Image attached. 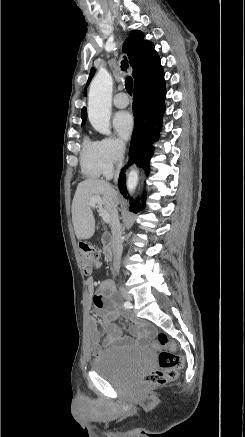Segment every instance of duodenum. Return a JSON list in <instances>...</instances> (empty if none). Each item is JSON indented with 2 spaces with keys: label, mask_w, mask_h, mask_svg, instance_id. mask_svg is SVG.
Instances as JSON below:
<instances>
[{
  "label": "duodenum",
  "mask_w": 245,
  "mask_h": 437,
  "mask_svg": "<svg viewBox=\"0 0 245 437\" xmlns=\"http://www.w3.org/2000/svg\"><path fill=\"white\" fill-rule=\"evenodd\" d=\"M111 235L109 233H105L102 237L103 243V253L107 261H111L113 254L111 249Z\"/></svg>",
  "instance_id": "410a0bca"
}]
</instances>
